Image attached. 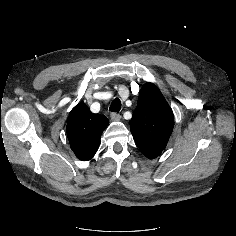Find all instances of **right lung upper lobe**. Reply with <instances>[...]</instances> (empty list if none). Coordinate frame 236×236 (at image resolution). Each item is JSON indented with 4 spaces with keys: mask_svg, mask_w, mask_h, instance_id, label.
<instances>
[{
    "mask_svg": "<svg viewBox=\"0 0 236 236\" xmlns=\"http://www.w3.org/2000/svg\"><path fill=\"white\" fill-rule=\"evenodd\" d=\"M107 117L92 113L85 103H79L67 120V136L76 157L90 160L98 150L100 136L107 127Z\"/></svg>",
    "mask_w": 236,
    "mask_h": 236,
    "instance_id": "right-lung-upper-lobe-1",
    "label": "right lung upper lobe"
}]
</instances>
